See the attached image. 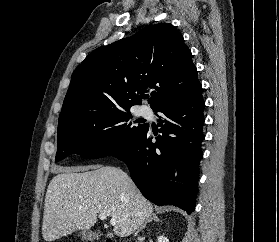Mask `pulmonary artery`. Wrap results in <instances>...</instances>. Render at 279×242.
Returning a JSON list of instances; mask_svg holds the SVG:
<instances>
[{
	"mask_svg": "<svg viewBox=\"0 0 279 242\" xmlns=\"http://www.w3.org/2000/svg\"><path fill=\"white\" fill-rule=\"evenodd\" d=\"M140 113H141V115H146L148 113V109L147 108H141Z\"/></svg>",
	"mask_w": 279,
	"mask_h": 242,
	"instance_id": "obj_1",
	"label": "pulmonary artery"
}]
</instances>
